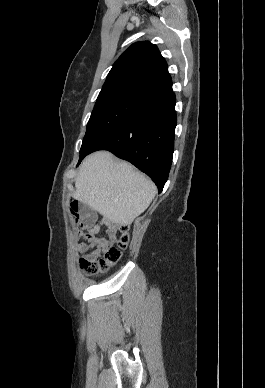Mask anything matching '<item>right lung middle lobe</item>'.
<instances>
[{"mask_svg": "<svg viewBox=\"0 0 265 388\" xmlns=\"http://www.w3.org/2000/svg\"><path fill=\"white\" fill-rule=\"evenodd\" d=\"M146 101L128 93H100L87 124L80 159L85 157L98 141L131 117Z\"/></svg>", "mask_w": 265, "mask_h": 388, "instance_id": "dd1d6c3e", "label": "right lung middle lobe"}]
</instances>
